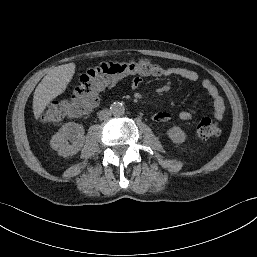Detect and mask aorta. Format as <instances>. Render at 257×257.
Listing matches in <instances>:
<instances>
[{"label":"aorta","mask_w":257,"mask_h":257,"mask_svg":"<svg viewBox=\"0 0 257 257\" xmlns=\"http://www.w3.org/2000/svg\"><path fill=\"white\" fill-rule=\"evenodd\" d=\"M110 109L114 115H123L125 112V107L121 102H114Z\"/></svg>","instance_id":"1"}]
</instances>
